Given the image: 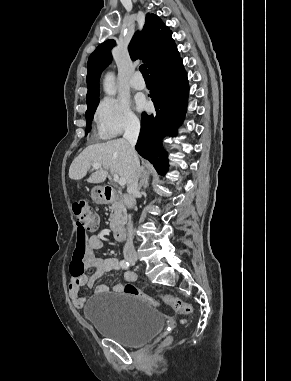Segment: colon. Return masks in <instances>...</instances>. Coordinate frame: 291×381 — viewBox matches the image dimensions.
I'll return each instance as SVG.
<instances>
[{"label": "colon", "instance_id": "obj_1", "mask_svg": "<svg viewBox=\"0 0 291 381\" xmlns=\"http://www.w3.org/2000/svg\"><path fill=\"white\" fill-rule=\"evenodd\" d=\"M72 210L76 219L78 226L77 230V243L73 255V263L77 271L83 270V258L85 255L86 246V232L96 231L98 229V217L92 213L89 205L84 200H79L73 203ZM79 276V275H77ZM123 291L126 294L134 295L144 301L150 303L151 305L157 306L158 302L150 295L137 289L132 284H127L124 286ZM161 300L171 306L176 312L183 315H190L193 311L190 304L186 303L182 299L171 295H162ZM185 323V320H182Z\"/></svg>", "mask_w": 291, "mask_h": 381}]
</instances>
